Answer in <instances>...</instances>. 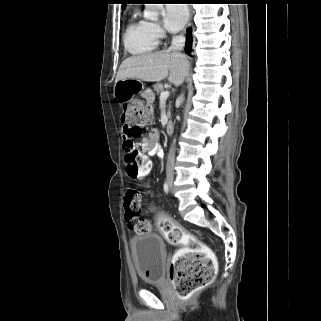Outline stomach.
<instances>
[{"label":"stomach","mask_w":321,"mask_h":321,"mask_svg":"<svg viewBox=\"0 0 321 321\" xmlns=\"http://www.w3.org/2000/svg\"><path fill=\"white\" fill-rule=\"evenodd\" d=\"M143 89L141 81L136 79H123L115 82L114 85V96L121 102H126L131 97Z\"/></svg>","instance_id":"stomach-1"}]
</instances>
